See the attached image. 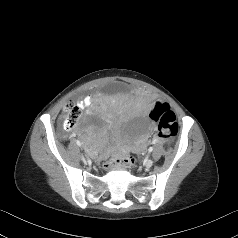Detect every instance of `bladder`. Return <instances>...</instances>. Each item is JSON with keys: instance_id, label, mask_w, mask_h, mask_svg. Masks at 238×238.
<instances>
[{"instance_id": "31cf9c89", "label": "bladder", "mask_w": 238, "mask_h": 238, "mask_svg": "<svg viewBox=\"0 0 238 238\" xmlns=\"http://www.w3.org/2000/svg\"><path fill=\"white\" fill-rule=\"evenodd\" d=\"M129 89V86L125 82H120V83H112L108 84L105 86L104 91L106 94L111 95V94H117L118 92L120 93H125Z\"/></svg>"}]
</instances>
